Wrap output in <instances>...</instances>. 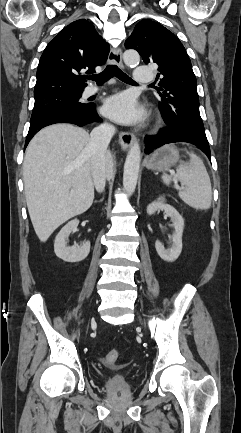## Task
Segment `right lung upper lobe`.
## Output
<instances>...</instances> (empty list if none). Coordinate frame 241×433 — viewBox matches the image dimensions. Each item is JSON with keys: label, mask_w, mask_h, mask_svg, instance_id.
<instances>
[{"label": "right lung upper lobe", "mask_w": 241, "mask_h": 433, "mask_svg": "<svg viewBox=\"0 0 241 433\" xmlns=\"http://www.w3.org/2000/svg\"><path fill=\"white\" fill-rule=\"evenodd\" d=\"M109 45L87 20L65 27L44 50L38 65L34 97L51 92L83 91L85 76L106 62Z\"/></svg>", "instance_id": "1"}]
</instances>
